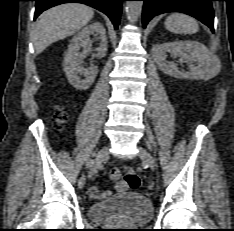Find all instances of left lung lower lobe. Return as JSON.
Here are the masks:
<instances>
[{"label":"left lung lower lobe","instance_id":"left-lung-lower-lobe-1","mask_svg":"<svg viewBox=\"0 0 234 231\" xmlns=\"http://www.w3.org/2000/svg\"><path fill=\"white\" fill-rule=\"evenodd\" d=\"M144 8L142 14L143 26L156 15L166 12H182L191 15L214 31V12L212 1L215 0H142Z\"/></svg>","mask_w":234,"mask_h":231}]
</instances>
